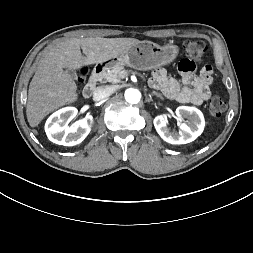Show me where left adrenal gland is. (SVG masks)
<instances>
[{
    "instance_id": "obj_1",
    "label": "left adrenal gland",
    "mask_w": 253,
    "mask_h": 253,
    "mask_svg": "<svg viewBox=\"0 0 253 253\" xmlns=\"http://www.w3.org/2000/svg\"><path fill=\"white\" fill-rule=\"evenodd\" d=\"M152 96H156V97H159V98H161V99H163L158 93H156L155 91L154 92H152V94H151Z\"/></svg>"
}]
</instances>
